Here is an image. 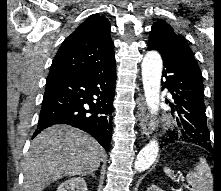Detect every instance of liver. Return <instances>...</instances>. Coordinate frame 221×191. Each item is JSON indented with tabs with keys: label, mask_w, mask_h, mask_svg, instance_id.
Here are the masks:
<instances>
[{
	"label": "liver",
	"mask_w": 221,
	"mask_h": 191,
	"mask_svg": "<svg viewBox=\"0 0 221 191\" xmlns=\"http://www.w3.org/2000/svg\"><path fill=\"white\" fill-rule=\"evenodd\" d=\"M104 149L90 135L67 125H55L32 142L23 167L24 191H42L64 177L98 169Z\"/></svg>",
	"instance_id": "6515ba94"
}]
</instances>
